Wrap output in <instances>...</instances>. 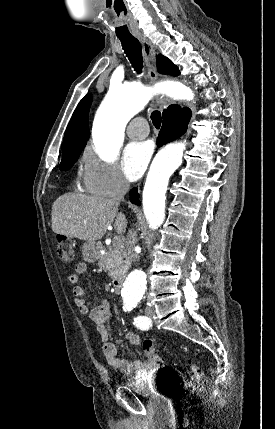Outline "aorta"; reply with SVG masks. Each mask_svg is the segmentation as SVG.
Wrapping results in <instances>:
<instances>
[{
	"mask_svg": "<svg viewBox=\"0 0 275 429\" xmlns=\"http://www.w3.org/2000/svg\"><path fill=\"white\" fill-rule=\"evenodd\" d=\"M153 90L140 84L111 87L99 107L93 124V142L99 156L113 160L124 139L127 122L148 103ZM170 95L179 99H193L192 91L182 84H173ZM185 142L165 146L157 155L148 173L143 190V211L150 228L157 229L165 218V194L170 176L182 162ZM146 274L142 270L132 271L122 288L125 304L137 302L146 289Z\"/></svg>",
	"mask_w": 275,
	"mask_h": 429,
	"instance_id": "1",
	"label": "aorta"
}]
</instances>
